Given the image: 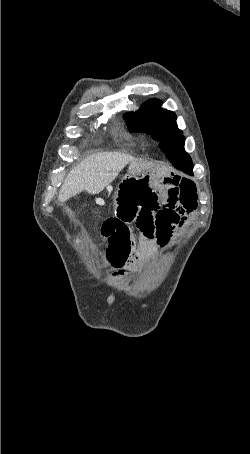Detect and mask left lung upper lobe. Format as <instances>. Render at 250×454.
Here are the masks:
<instances>
[{
	"mask_svg": "<svg viewBox=\"0 0 250 454\" xmlns=\"http://www.w3.org/2000/svg\"><path fill=\"white\" fill-rule=\"evenodd\" d=\"M161 102L151 99L136 112L126 113L124 118L131 132H143L160 142L159 146L167 158L176 154H187L184 150L185 138L176 124L172 111L161 109Z\"/></svg>",
	"mask_w": 250,
	"mask_h": 454,
	"instance_id": "1",
	"label": "left lung upper lobe"
}]
</instances>
